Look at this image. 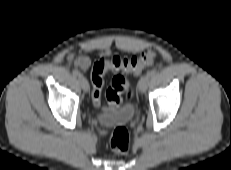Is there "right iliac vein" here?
Segmentation results:
<instances>
[{"mask_svg": "<svg viewBox=\"0 0 231 170\" xmlns=\"http://www.w3.org/2000/svg\"><path fill=\"white\" fill-rule=\"evenodd\" d=\"M79 83L83 89L84 92H88L89 91V83L87 81V79L83 76L79 77Z\"/></svg>", "mask_w": 231, "mask_h": 170, "instance_id": "1", "label": "right iliac vein"}]
</instances>
